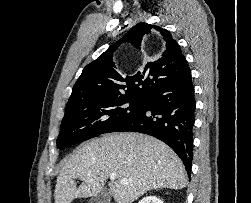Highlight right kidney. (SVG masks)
<instances>
[{"label":"right kidney","instance_id":"right-kidney-1","mask_svg":"<svg viewBox=\"0 0 251 203\" xmlns=\"http://www.w3.org/2000/svg\"><path fill=\"white\" fill-rule=\"evenodd\" d=\"M138 203H163V201L156 196H146L142 200H140Z\"/></svg>","mask_w":251,"mask_h":203}]
</instances>
